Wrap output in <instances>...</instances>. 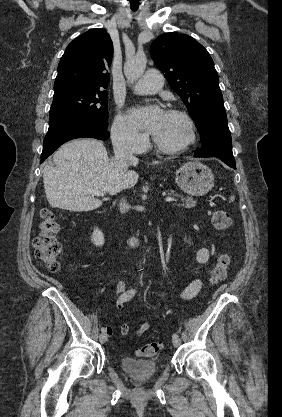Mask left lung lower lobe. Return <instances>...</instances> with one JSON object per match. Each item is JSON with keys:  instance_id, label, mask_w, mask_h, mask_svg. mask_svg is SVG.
I'll return each instance as SVG.
<instances>
[{"instance_id": "1", "label": "left lung lower lobe", "mask_w": 282, "mask_h": 417, "mask_svg": "<svg viewBox=\"0 0 282 417\" xmlns=\"http://www.w3.org/2000/svg\"><path fill=\"white\" fill-rule=\"evenodd\" d=\"M199 132L202 148L195 151V157H217L236 169L226 114L210 116Z\"/></svg>"}]
</instances>
